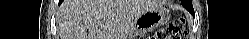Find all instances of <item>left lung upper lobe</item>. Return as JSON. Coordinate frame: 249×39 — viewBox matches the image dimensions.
Segmentation results:
<instances>
[{"label":"left lung upper lobe","instance_id":"1","mask_svg":"<svg viewBox=\"0 0 249 39\" xmlns=\"http://www.w3.org/2000/svg\"><path fill=\"white\" fill-rule=\"evenodd\" d=\"M181 3L188 11L192 10V0H181Z\"/></svg>","mask_w":249,"mask_h":39}]
</instances>
